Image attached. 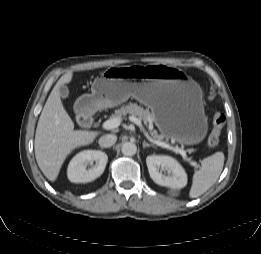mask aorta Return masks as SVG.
Returning a JSON list of instances; mask_svg holds the SVG:
<instances>
[{"label": "aorta", "mask_w": 261, "mask_h": 254, "mask_svg": "<svg viewBox=\"0 0 261 254\" xmlns=\"http://www.w3.org/2000/svg\"><path fill=\"white\" fill-rule=\"evenodd\" d=\"M121 151L125 156H133L137 152V146L132 142H126L122 145Z\"/></svg>", "instance_id": "aorta-1"}]
</instances>
